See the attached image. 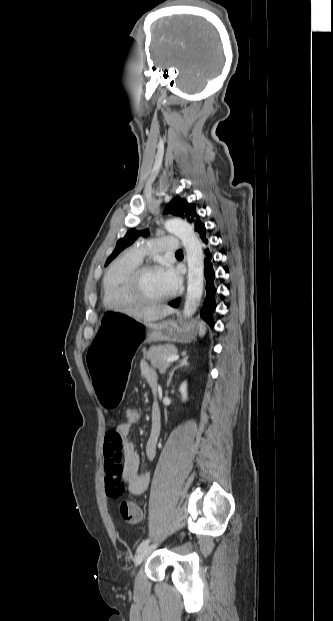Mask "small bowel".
<instances>
[{"mask_svg":"<svg viewBox=\"0 0 333 621\" xmlns=\"http://www.w3.org/2000/svg\"><path fill=\"white\" fill-rule=\"evenodd\" d=\"M142 374L148 385L157 387L156 371L146 362L142 364ZM134 425L126 421L119 423L105 435L103 446L105 489L109 496L119 497L125 491L141 495L148 489L150 475L140 471V459L135 444L131 440ZM160 434V415L157 406L152 408V427L145 444V455L149 460L156 456Z\"/></svg>","mask_w":333,"mask_h":621,"instance_id":"obj_1","label":"small bowel"}]
</instances>
